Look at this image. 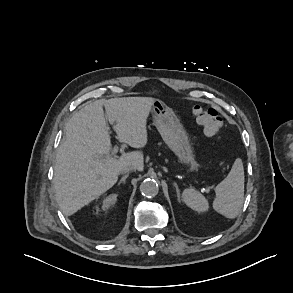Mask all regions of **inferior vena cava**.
<instances>
[{
	"instance_id": "inferior-vena-cava-1",
	"label": "inferior vena cava",
	"mask_w": 293,
	"mask_h": 293,
	"mask_svg": "<svg viewBox=\"0 0 293 293\" xmlns=\"http://www.w3.org/2000/svg\"><path fill=\"white\" fill-rule=\"evenodd\" d=\"M136 170V166L133 164H127L121 167L120 173L121 174H128L129 172Z\"/></svg>"
}]
</instances>
